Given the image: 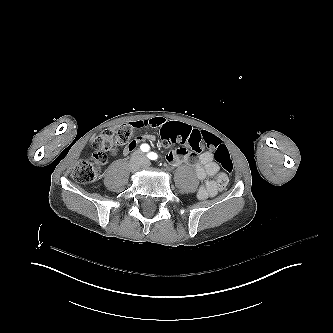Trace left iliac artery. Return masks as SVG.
Instances as JSON below:
<instances>
[{"instance_id":"left-iliac-artery-1","label":"left iliac artery","mask_w":333,"mask_h":333,"mask_svg":"<svg viewBox=\"0 0 333 333\" xmlns=\"http://www.w3.org/2000/svg\"><path fill=\"white\" fill-rule=\"evenodd\" d=\"M148 157H149V159H151V160H156L158 156H157L156 153L151 152V153H149Z\"/></svg>"}]
</instances>
